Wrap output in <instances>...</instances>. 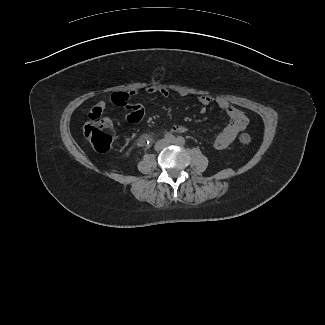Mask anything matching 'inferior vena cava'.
Returning a JSON list of instances; mask_svg holds the SVG:
<instances>
[{
    "mask_svg": "<svg viewBox=\"0 0 325 325\" xmlns=\"http://www.w3.org/2000/svg\"><path fill=\"white\" fill-rule=\"evenodd\" d=\"M166 145H167L166 142H161V144H158V145L156 146V149H157V150H160L162 147H164V146H166Z\"/></svg>",
    "mask_w": 325,
    "mask_h": 325,
    "instance_id": "inferior-vena-cava-1",
    "label": "inferior vena cava"
}]
</instances>
